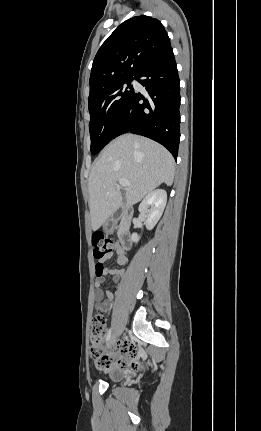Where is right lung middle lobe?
Listing matches in <instances>:
<instances>
[{"instance_id": "1", "label": "right lung middle lobe", "mask_w": 261, "mask_h": 431, "mask_svg": "<svg viewBox=\"0 0 261 431\" xmlns=\"http://www.w3.org/2000/svg\"><path fill=\"white\" fill-rule=\"evenodd\" d=\"M135 77H129L90 93L89 131L91 153L97 154L113 138L116 124L134 94L130 85Z\"/></svg>"}]
</instances>
